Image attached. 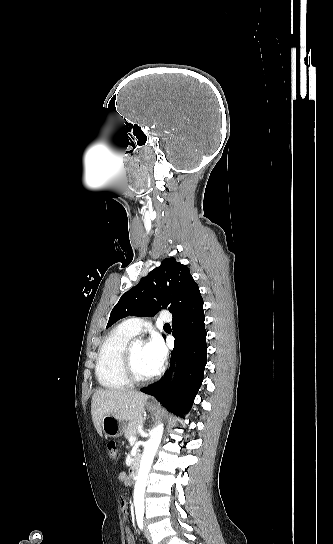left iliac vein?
<instances>
[{"mask_svg":"<svg viewBox=\"0 0 333 544\" xmlns=\"http://www.w3.org/2000/svg\"><path fill=\"white\" fill-rule=\"evenodd\" d=\"M145 536H146L147 540H148L149 542H151V540H152V539H151V534H150L149 530H148L147 527H146V522H145Z\"/></svg>","mask_w":333,"mask_h":544,"instance_id":"1","label":"left iliac vein"}]
</instances>
